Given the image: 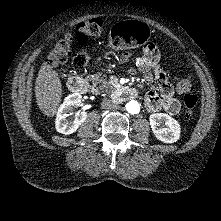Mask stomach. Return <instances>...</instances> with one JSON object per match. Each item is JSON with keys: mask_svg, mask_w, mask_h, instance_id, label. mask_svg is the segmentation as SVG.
<instances>
[{"mask_svg": "<svg viewBox=\"0 0 221 221\" xmlns=\"http://www.w3.org/2000/svg\"><path fill=\"white\" fill-rule=\"evenodd\" d=\"M150 37L148 26L139 20H127L115 25L108 46L115 50L136 51L144 47Z\"/></svg>", "mask_w": 221, "mask_h": 221, "instance_id": "1", "label": "stomach"}]
</instances>
